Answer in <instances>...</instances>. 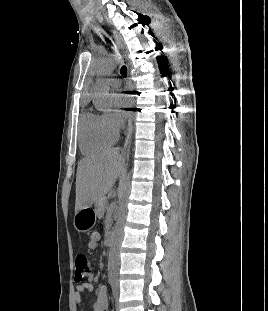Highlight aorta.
<instances>
[{"instance_id": "762f6f07", "label": "aorta", "mask_w": 268, "mask_h": 311, "mask_svg": "<svg viewBox=\"0 0 268 311\" xmlns=\"http://www.w3.org/2000/svg\"><path fill=\"white\" fill-rule=\"evenodd\" d=\"M118 65V60L116 57H108L100 62H98L94 66V71L100 75H107L116 70ZM95 92L99 99H97V104L100 106H105L108 100V89L102 83V81H98L95 86ZM130 179L131 172L123 175L119 184V199H118V207L116 212V224L114 227L113 235H112V244L110 247L109 258H108V271L111 277H116L118 273L119 266V250L121 246V242L123 239V227L126 219L127 213V203L128 196L130 193Z\"/></svg>"}]
</instances>
